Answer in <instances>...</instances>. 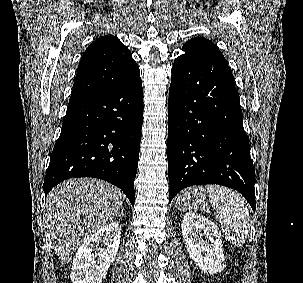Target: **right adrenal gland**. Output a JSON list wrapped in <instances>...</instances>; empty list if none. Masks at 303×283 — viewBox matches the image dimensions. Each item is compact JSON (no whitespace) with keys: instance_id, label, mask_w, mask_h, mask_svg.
Instances as JSON below:
<instances>
[{"instance_id":"right-adrenal-gland-1","label":"right adrenal gland","mask_w":303,"mask_h":283,"mask_svg":"<svg viewBox=\"0 0 303 283\" xmlns=\"http://www.w3.org/2000/svg\"><path fill=\"white\" fill-rule=\"evenodd\" d=\"M121 216H124L123 210L121 211Z\"/></svg>"}]
</instances>
